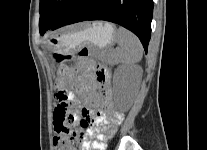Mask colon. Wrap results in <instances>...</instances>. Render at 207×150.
<instances>
[{
    "instance_id": "obj_1",
    "label": "colon",
    "mask_w": 207,
    "mask_h": 150,
    "mask_svg": "<svg viewBox=\"0 0 207 150\" xmlns=\"http://www.w3.org/2000/svg\"><path fill=\"white\" fill-rule=\"evenodd\" d=\"M80 56L87 55V50L83 49L79 53ZM54 58L57 62L62 63L72 59V56L64 55L62 53H55ZM61 82L65 81L67 74L64 70L60 71ZM70 81V78H67ZM72 87L62 86L57 87L56 104L54 106L53 117H50V122H53V132H57V136L54 138L55 150H80L83 143L87 140V135L84 132V128L89 126L92 122L89 114L84 112L81 116L80 125L81 128L73 130L71 128V112L75 111L76 100L74 99Z\"/></svg>"
}]
</instances>
